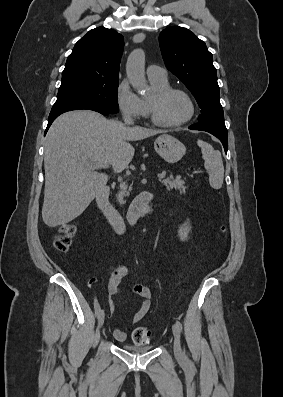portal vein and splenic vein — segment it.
<instances>
[{
    "label": "portal vein and splenic vein",
    "mask_w": 283,
    "mask_h": 397,
    "mask_svg": "<svg viewBox=\"0 0 283 397\" xmlns=\"http://www.w3.org/2000/svg\"><path fill=\"white\" fill-rule=\"evenodd\" d=\"M100 167H102V168H107L108 166H107V165L101 164ZM165 176H166V172H165V171H163V172L157 174V177L160 178V179H161V178H164Z\"/></svg>",
    "instance_id": "18ae733b"
}]
</instances>
